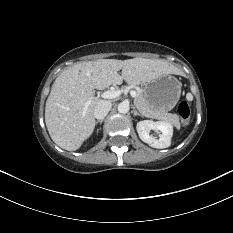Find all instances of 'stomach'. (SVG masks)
<instances>
[{
	"mask_svg": "<svg viewBox=\"0 0 233 233\" xmlns=\"http://www.w3.org/2000/svg\"><path fill=\"white\" fill-rule=\"evenodd\" d=\"M143 95L151 108L168 112L179 101L181 85L174 76L163 75L146 83L143 87Z\"/></svg>",
	"mask_w": 233,
	"mask_h": 233,
	"instance_id": "obj_1",
	"label": "stomach"
}]
</instances>
